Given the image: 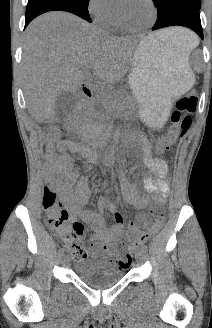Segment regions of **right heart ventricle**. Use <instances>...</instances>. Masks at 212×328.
Segmentation results:
<instances>
[{"instance_id": "right-heart-ventricle-1", "label": "right heart ventricle", "mask_w": 212, "mask_h": 328, "mask_svg": "<svg viewBox=\"0 0 212 328\" xmlns=\"http://www.w3.org/2000/svg\"><path fill=\"white\" fill-rule=\"evenodd\" d=\"M105 27L110 29H118L121 27L119 22L117 21V18L115 16L110 17L106 21L102 23Z\"/></svg>"}]
</instances>
